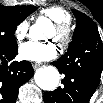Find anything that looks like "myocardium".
I'll return each mask as SVG.
<instances>
[{"label": "myocardium", "mask_w": 103, "mask_h": 103, "mask_svg": "<svg viewBox=\"0 0 103 103\" xmlns=\"http://www.w3.org/2000/svg\"><path fill=\"white\" fill-rule=\"evenodd\" d=\"M54 28L56 31L55 40L60 46H65L69 43L71 38V30L68 23H55Z\"/></svg>", "instance_id": "obj_1"}]
</instances>
